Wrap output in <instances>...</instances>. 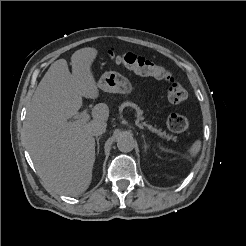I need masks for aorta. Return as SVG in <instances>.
<instances>
[{
    "instance_id": "obj_1",
    "label": "aorta",
    "mask_w": 246,
    "mask_h": 246,
    "mask_svg": "<svg viewBox=\"0 0 246 246\" xmlns=\"http://www.w3.org/2000/svg\"><path fill=\"white\" fill-rule=\"evenodd\" d=\"M117 147L121 152H130L134 148V139L132 135L128 133H120L116 139Z\"/></svg>"
}]
</instances>
